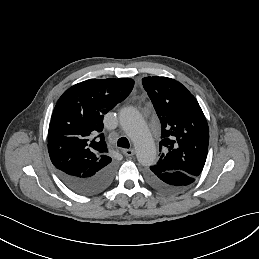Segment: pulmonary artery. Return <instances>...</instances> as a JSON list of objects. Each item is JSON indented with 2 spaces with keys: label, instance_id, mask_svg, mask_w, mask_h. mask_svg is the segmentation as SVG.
I'll return each instance as SVG.
<instances>
[{
  "label": "pulmonary artery",
  "instance_id": "pulmonary-artery-1",
  "mask_svg": "<svg viewBox=\"0 0 259 259\" xmlns=\"http://www.w3.org/2000/svg\"><path fill=\"white\" fill-rule=\"evenodd\" d=\"M120 127L129 137L135 138L140 130L141 121L132 115H126L120 118Z\"/></svg>",
  "mask_w": 259,
  "mask_h": 259
}]
</instances>
